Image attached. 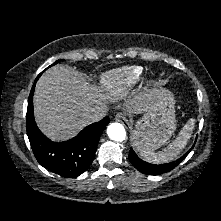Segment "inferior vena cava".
<instances>
[{"mask_svg": "<svg viewBox=\"0 0 221 221\" xmlns=\"http://www.w3.org/2000/svg\"><path fill=\"white\" fill-rule=\"evenodd\" d=\"M106 116V111L95 112L86 116V123L91 124L100 121Z\"/></svg>", "mask_w": 221, "mask_h": 221, "instance_id": "602c4592", "label": "inferior vena cava"}]
</instances>
